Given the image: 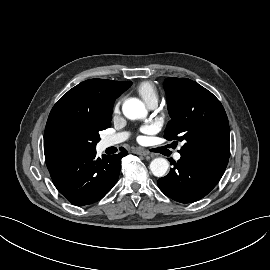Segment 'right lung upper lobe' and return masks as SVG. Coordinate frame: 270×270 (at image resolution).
I'll return each mask as SVG.
<instances>
[{
  "instance_id": "right-lung-upper-lobe-1",
  "label": "right lung upper lobe",
  "mask_w": 270,
  "mask_h": 270,
  "mask_svg": "<svg viewBox=\"0 0 270 270\" xmlns=\"http://www.w3.org/2000/svg\"><path fill=\"white\" fill-rule=\"evenodd\" d=\"M131 81L89 79L64 94L52 108L45 133L62 117L89 118L98 121L111 120L115 99L131 86ZM44 133V135H45ZM45 157L51 156L45 151Z\"/></svg>"
}]
</instances>
